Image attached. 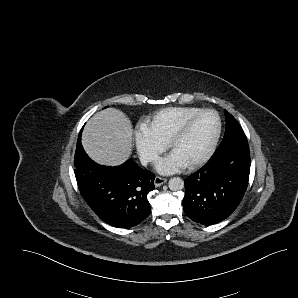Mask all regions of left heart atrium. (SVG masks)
<instances>
[{"mask_svg":"<svg viewBox=\"0 0 298 298\" xmlns=\"http://www.w3.org/2000/svg\"><path fill=\"white\" fill-rule=\"evenodd\" d=\"M154 166L161 174H173L186 167V164L176 156L168 154L156 159Z\"/></svg>","mask_w":298,"mask_h":298,"instance_id":"left-heart-atrium-1","label":"left heart atrium"}]
</instances>
